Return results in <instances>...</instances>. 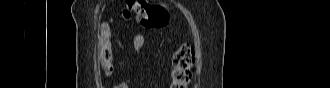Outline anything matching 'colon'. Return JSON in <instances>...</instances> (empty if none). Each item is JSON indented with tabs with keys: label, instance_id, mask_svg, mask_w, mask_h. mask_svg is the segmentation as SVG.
<instances>
[{
	"label": "colon",
	"instance_id": "colon-1",
	"mask_svg": "<svg viewBox=\"0 0 330 88\" xmlns=\"http://www.w3.org/2000/svg\"><path fill=\"white\" fill-rule=\"evenodd\" d=\"M134 15L136 21L146 29H157L166 25L167 15L159 7L145 0H131L121 10L124 20ZM100 58L106 73L112 70V49L107 40L100 47ZM172 88H187L193 76L195 64L194 49L190 45H181L172 57Z\"/></svg>",
	"mask_w": 330,
	"mask_h": 88
}]
</instances>
